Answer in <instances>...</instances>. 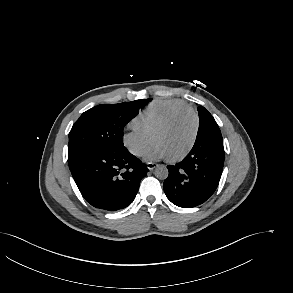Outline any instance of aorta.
<instances>
[{"label":"aorta","mask_w":293,"mask_h":293,"mask_svg":"<svg viewBox=\"0 0 293 293\" xmlns=\"http://www.w3.org/2000/svg\"><path fill=\"white\" fill-rule=\"evenodd\" d=\"M154 174L158 179H166L169 172L166 166L158 165L154 170Z\"/></svg>","instance_id":"762f6f07"}]
</instances>
